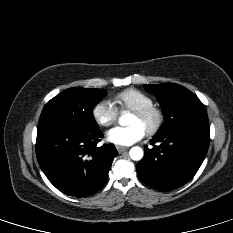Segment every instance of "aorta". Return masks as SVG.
Segmentation results:
<instances>
[{"label":"aorta","instance_id":"obj_1","mask_svg":"<svg viewBox=\"0 0 233 233\" xmlns=\"http://www.w3.org/2000/svg\"><path fill=\"white\" fill-rule=\"evenodd\" d=\"M125 117H126V114L121 116L119 119V124L122 126L126 125ZM143 155H144V152H143L142 148H140L138 146L132 147L129 151V156L134 161L141 160L143 158Z\"/></svg>","mask_w":233,"mask_h":233}]
</instances>
